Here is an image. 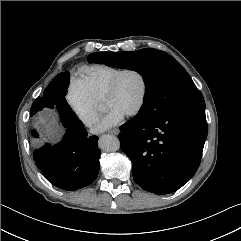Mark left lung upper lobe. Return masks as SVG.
I'll list each match as a JSON object with an SVG mask.
<instances>
[{
	"instance_id": "left-lung-upper-lobe-1",
	"label": "left lung upper lobe",
	"mask_w": 241,
	"mask_h": 241,
	"mask_svg": "<svg viewBox=\"0 0 241 241\" xmlns=\"http://www.w3.org/2000/svg\"><path fill=\"white\" fill-rule=\"evenodd\" d=\"M88 61L131 69L141 74L146 90L144 104L139 112L158 117L178 108H205L204 98L189 74L163 51L145 48L131 52H98L90 54ZM155 99H159L160 103L156 105Z\"/></svg>"
}]
</instances>
